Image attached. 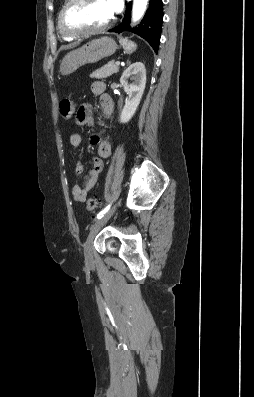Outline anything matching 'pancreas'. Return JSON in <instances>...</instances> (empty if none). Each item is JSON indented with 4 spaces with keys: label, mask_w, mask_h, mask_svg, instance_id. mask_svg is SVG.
<instances>
[{
    "label": "pancreas",
    "mask_w": 254,
    "mask_h": 397,
    "mask_svg": "<svg viewBox=\"0 0 254 397\" xmlns=\"http://www.w3.org/2000/svg\"><path fill=\"white\" fill-rule=\"evenodd\" d=\"M119 71V66H117L113 61H110L108 64L94 71L90 77L96 79H104L107 78L114 73Z\"/></svg>",
    "instance_id": "obj_1"
}]
</instances>
